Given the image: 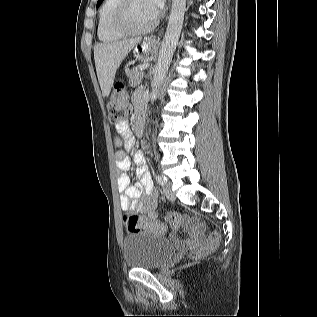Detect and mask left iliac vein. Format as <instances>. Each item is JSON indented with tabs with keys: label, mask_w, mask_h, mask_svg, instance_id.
Masks as SVG:
<instances>
[{
	"label": "left iliac vein",
	"mask_w": 317,
	"mask_h": 317,
	"mask_svg": "<svg viewBox=\"0 0 317 317\" xmlns=\"http://www.w3.org/2000/svg\"><path fill=\"white\" fill-rule=\"evenodd\" d=\"M163 193H164V195L166 196V198L168 200H170V201H174L175 200V194L172 191V187H171L170 182H166L163 185Z\"/></svg>",
	"instance_id": "1"
}]
</instances>
